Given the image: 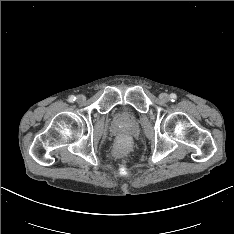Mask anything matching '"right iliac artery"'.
Masks as SVG:
<instances>
[{"label":"right iliac artery","mask_w":234,"mask_h":234,"mask_svg":"<svg viewBox=\"0 0 234 234\" xmlns=\"http://www.w3.org/2000/svg\"><path fill=\"white\" fill-rule=\"evenodd\" d=\"M75 100H76V97L73 95L68 98L69 102H74Z\"/></svg>","instance_id":"82829eb1"}]
</instances>
